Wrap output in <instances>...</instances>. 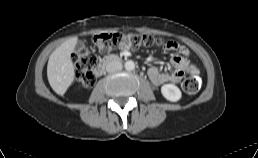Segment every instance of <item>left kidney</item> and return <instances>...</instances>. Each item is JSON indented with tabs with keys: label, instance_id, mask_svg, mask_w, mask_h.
Here are the masks:
<instances>
[{
	"label": "left kidney",
	"instance_id": "5707ae66",
	"mask_svg": "<svg viewBox=\"0 0 258 158\" xmlns=\"http://www.w3.org/2000/svg\"><path fill=\"white\" fill-rule=\"evenodd\" d=\"M161 93L165 99L171 102H177L181 99L182 93L174 84H164L161 87Z\"/></svg>",
	"mask_w": 258,
	"mask_h": 158
}]
</instances>
